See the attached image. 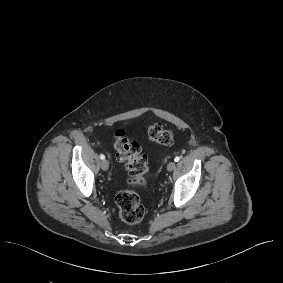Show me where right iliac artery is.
I'll return each instance as SVG.
<instances>
[{
	"label": "right iliac artery",
	"instance_id": "obj_1",
	"mask_svg": "<svg viewBox=\"0 0 283 283\" xmlns=\"http://www.w3.org/2000/svg\"><path fill=\"white\" fill-rule=\"evenodd\" d=\"M100 158H101L102 160H104V159H105V156H104L103 154H101V155H100Z\"/></svg>",
	"mask_w": 283,
	"mask_h": 283
}]
</instances>
